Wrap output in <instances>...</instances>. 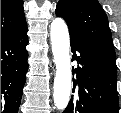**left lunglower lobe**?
Returning a JSON list of instances; mask_svg holds the SVG:
<instances>
[{
	"label": "left lung lower lobe",
	"mask_w": 121,
	"mask_h": 113,
	"mask_svg": "<svg viewBox=\"0 0 121 113\" xmlns=\"http://www.w3.org/2000/svg\"><path fill=\"white\" fill-rule=\"evenodd\" d=\"M70 42L78 82L73 79L76 94L63 113H119L117 69L79 40L70 37Z\"/></svg>",
	"instance_id": "0a47b994"
}]
</instances>
